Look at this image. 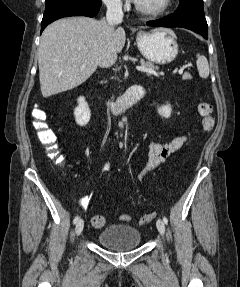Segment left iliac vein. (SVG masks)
Here are the masks:
<instances>
[{
  "label": "left iliac vein",
  "mask_w": 240,
  "mask_h": 287,
  "mask_svg": "<svg viewBox=\"0 0 240 287\" xmlns=\"http://www.w3.org/2000/svg\"><path fill=\"white\" fill-rule=\"evenodd\" d=\"M156 226H157V229H158V231L160 232V234L163 235L164 232H165V224H164V221L161 220V219H158L157 222H156Z\"/></svg>",
  "instance_id": "obj_1"
}]
</instances>
